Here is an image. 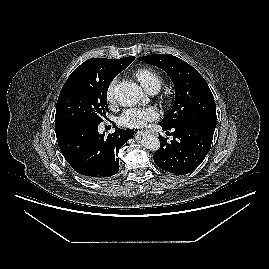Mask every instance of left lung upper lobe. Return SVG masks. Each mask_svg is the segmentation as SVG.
Instances as JSON below:
<instances>
[{"label": "left lung upper lobe", "instance_id": "obj_1", "mask_svg": "<svg viewBox=\"0 0 269 269\" xmlns=\"http://www.w3.org/2000/svg\"><path fill=\"white\" fill-rule=\"evenodd\" d=\"M163 69L175 88V102L162 122L168 129L191 122L211 120L216 122L213 94L200 73L185 61L171 54H155L138 58Z\"/></svg>", "mask_w": 269, "mask_h": 269}]
</instances>
